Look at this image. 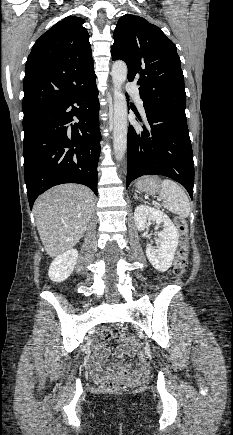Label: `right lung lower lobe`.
<instances>
[{
    "mask_svg": "<svg viewBox=\"0 0 233 435\" xmlns=\"http://www.w3.org/2000/svg\"><path fill=\"white\" fill-rule=\"evenodd\" d=\"M95 79L93 75L63 100L23 119L24 175L31 209L40 194L58 184H83L97 195L101 134ZM74 116L79 122L68 126Z\"/></svg>",
    "mask_w": 233,
    "mask_h": 435,
    "instance_id": "98d812e1",
    "label": "right lung lower lobe"
}]
</instances>
